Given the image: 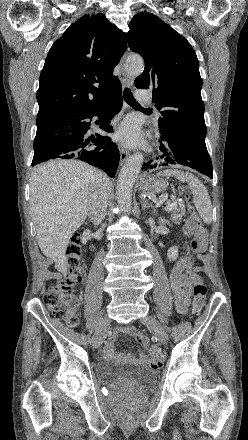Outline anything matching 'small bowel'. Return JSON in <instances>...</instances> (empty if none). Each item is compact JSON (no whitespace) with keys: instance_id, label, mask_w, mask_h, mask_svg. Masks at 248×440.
<instances>
[{"instance_id":"c3829d8e","label":"small bowel","mask_w":248,"mask_h":440,"mask_svg":"<svg viewBox=\"0 0 248 440\" xmlns=\"http://www.w3.org/2000/svg\"><path fill=\"white\" fill-rule=\"evenodd\" d=\"M195 230L194 225L189 221L186 223L184 231L187 236H191ZM189 270V259L187 256H183L178 260V262L173 267L170 273V284L172 292L175 297L176 310L179 314H186L189 306V297L191 290V276L188 273ZM195 271H198L196 268ZM121 332L134 333L133 327H120L117 328L109 341L107 342L104 349V356L108 359L116 358L114 350V343L117 340ZM157 349H153V354L155 355L152 359H149L144 353H139L137 360L143 363H150L154 368H158L160 365V359L157 356Z\"/></svg>"}]
</instances>
